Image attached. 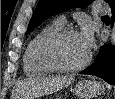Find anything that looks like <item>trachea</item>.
<instances>
[{"label": "trachea", "instance_id": "1", "mask_svg": "<svg viewBox=\"0 0 115 99\" xmlns=\"http://www.w3.org/2000/svg\"><path fill=\"white\" fill-rule=\"evenodd\" d=\"M109 16L108 15H106V16H103V18H108Z\"/></svg>", "mask_w": 115, "mask_h": 99}]
</instances>
